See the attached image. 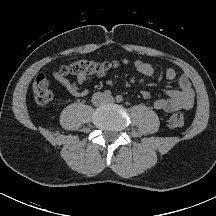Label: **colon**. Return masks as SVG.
<instances>
[{
    "instance_id": "obj_1",
    "label": "colon",
    "mask_w": 216,
    "mask_h": 216,
    "mask_svg": "<svg viewBox=\"0 0 216 216\" xmlns=\"http://www.w3.org/2000/svg\"><path fill=\"white\" fill-rule=\"evenodd\" d=\"M113 67L110 62H99L94 60H80L62 69L63 73H71L79 76H93L105 72ZM32 91L35 102L39 106H46L51 103L53 93L50 89L49 79L43 75H38L32 85ZM184 123L182 113H174L168 119V125L171 128H178Z\"/></svg>"
}]
</instances>
